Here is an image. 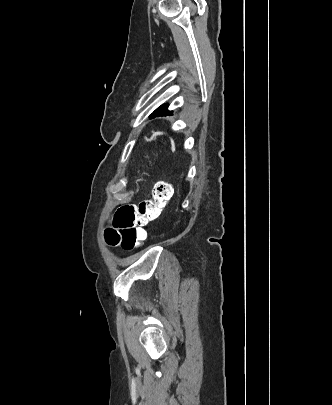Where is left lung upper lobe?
<instances>
[{
	"instance_id": "obj_1",
	"label": "left lung upper lobe",
	"mask_w": 332,
	"mask_h": 405,
	"mask_svg": "<svg viewBox=\"0 0 332 405\" xmlns=\"http://www.w3.org/2000/svg\"><path fill=\"white\" fill-rule=\"evenodd\" d=\"M162 108H165V109H167V105H163V106H161Z\"/></svg>"
}]
</instances>
